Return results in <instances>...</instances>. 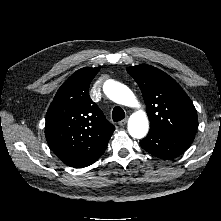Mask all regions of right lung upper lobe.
<instances>
[{
    "label": "right lung upper lobe",
    "instance_id": "right-lung-upper-lobe-1",
    "mask_svg": "<svg viewBox=\"0 0 221 221\" xmlns=\"http://www.w3.org/2000/svg\"><path fill=\"white\" fill-rule=\"evenodd\" d=\"M99 70L86 67L73 73L57 91L46 115L49 146L65 164L75 168L99 158L115 130L88 94Z\"/></svg>",
    "mask_w": 221,
    "mask_h": 221
}]
</instances>
